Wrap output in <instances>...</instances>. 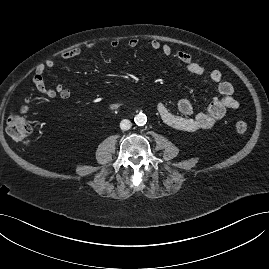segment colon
<instances>
[{
  "instance_id": "colon-1",
  "label": "colon",
  "mask_w": 269,
  "mask_h": 269,
  "mask_svg": "<svg viewBox=\"0 0 269 269\" xmlns=\"http://www.w3.org/2000/svg\"><path fill=\"white\" fill-rule=\"evenodd\" d=\"M29 110V100H25V103L13 111L7 119L6 132L16 142L28 143L33 133V127L25 120V115ZM247 128L246 121H236L235 130L239 135H244L247 132Z\"/></svg>"
}]
</instances>
